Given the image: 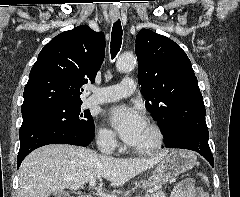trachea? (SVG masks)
I'll use <instances>...</instances> for the list:
<instances>
[{"label":"trachea","mask_w":240,"mask_h":197,"mask_svg":"<svg viewBox=\"0 0 240 197\" xmlns=\"http://www.w3.org/2000/svg\"><path fill=\"white\" fill-rule=\"evenodd\" d=\"M122 26L120 20L113 24L111 33V56L114 58L120 50L122 44Z\"/></svg>","instance_id":"1"}]
</instances>
